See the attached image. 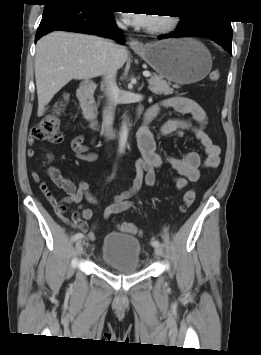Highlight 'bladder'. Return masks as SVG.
Listing matches in <instances>:
<instances>
[{"instance_id": "obj_1", "label": "bladder", "mask_w": 261, "mask_h": 355, "mask_svg": "<svg viewBox=\"0 0 261 355\" xmlns=\"http://www.w3.org/2000/svg\"><path fill=\"white\" fill-rule=\"evenodd\" d=\"M141 247L136 237L115 232L105 235L102 261L111 269L131 274L140 270Z\"/></svg>"}]
</instances>
